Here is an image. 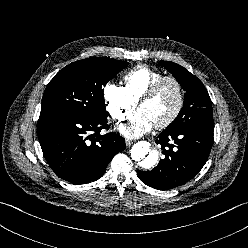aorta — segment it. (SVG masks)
Returning a JSON list of instances; mask_svg holds the SVG:
<instances>
[{"mask_svg":"<svg viewBox=\"0 0 248 248\" xmlns=\"http://www.w3.org/2000/svg\"><path fill=\"white\" fill-rule=\"evenodd\" d=\"M130 153L131 158L145 169L154 167L159 159L158 151L151 149V144L147 141H139L134 144Z\"/></svg>","mask_w":248,"mask_h":248,"instance_id":"aorta-1","label":"aorta"}]
</instances>
